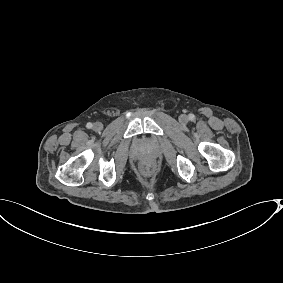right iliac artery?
I'll return each instance as SVG.
<instances>
[{"mask_svg": "<svg viewBox=\"0 0 283 283\" xmlns=\"http://www.w3.org/2000/svg\"><path fill=\"white\" fill-rule=\"evenodd\" d=\"M92 126H93V125H92V123H90V122H89V123H87V125H86V127H87L88 129H91V128H92Z\"/></svg>", "mask_w": 283, "mask_h": 283, "instance_id": "right-iliac-artery-1", "label": "right iliac artery"}]
</instances>
